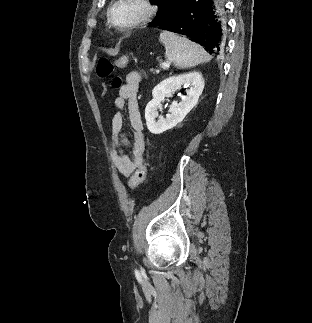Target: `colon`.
I'll list each match as a JSON object with an SVG mask.
<instances>
[{"instance_id":"obj_1","label":"colon","mask_w":312,"mask_h":323,"mask_svg":"<svg viewBox=\"0 0 312 323\" xmlns=\"http://www.w3.org/2000/svg\"><path fill=\"white\" fill-rule=\"evenodd\" d=\"M127 65H128V58L125 55H121L120 57H118L115 62L104 58V59H100L98 63L97 72L100 75L107 76L108 74L111 73V71L114 69L115 66L123 68V67H126ZM120 85H121V78L116 77L112 81V87L114 89H117L120 87ZM149 166L150 164L146 163L135 172L132 178L131 184L127 186V189L129 191H132L134 187L138 186L140 183H142L145 180Z\"/></svg>"}]
</instances>
